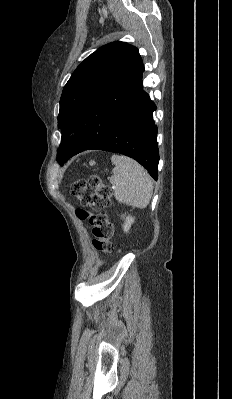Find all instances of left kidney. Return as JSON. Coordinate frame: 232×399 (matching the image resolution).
I'll list each match as a JSON object with an SVG mask.
<instances>
[{"mask_svg":"<svg viewBox=\"0 0 232 399\" xmlns=\"http://www.w3.org/2000/svg\"><path fill=\"white\" fill-rule=\"evenodd\" d=\"M125 219H126V221L123 225V229H124V231H129V229L134 221V217H132V215H126Z\"/></svg>","mask_w":232,"mask_h":399,"instance_id":"1","label":"left kidney"}]
</instances>
